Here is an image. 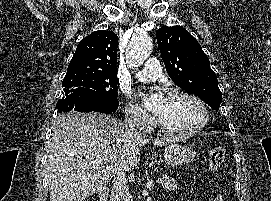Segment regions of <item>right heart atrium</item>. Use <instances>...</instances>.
Instances as JSON below:
<instances>
[{"label": "right heart atrium", "instance_id": "d8ad5b80", "mask_svg": "<svg viewBox=\"0 0 271 201\" xmlns=\"http://www.w3.org/2000/svg\"><path fill=\"white\" fill-rule=\"evenodd\" d=\"M125 114L129 123L141 130L148 129L152 124V118L139 106L128 102L125 106Z\"/></svg>", "mask_w": 271, "mask_h": 201}]
</instances>
